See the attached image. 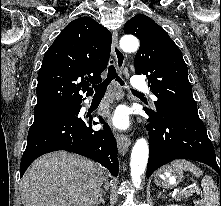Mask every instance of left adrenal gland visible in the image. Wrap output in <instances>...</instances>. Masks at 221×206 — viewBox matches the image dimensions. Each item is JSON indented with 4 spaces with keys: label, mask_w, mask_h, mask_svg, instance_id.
Segmentation results:
<instances>
[{
    "label": "left adrenal gland",
    "mask_w": 221,
    "mask_h": 206,
    "mask_svg": "<svg viewBox=\"0 0 221 206\" xmlns=\"http://www.w3.org/2000/svg\"><path fill=\"white\" fill-rule=\"evenodd\" d=\"M160 197L165 198V195H163V193H162V192H159L158 198H160Z\"/></svg>",
    "instance_id": "left-adrenal-gland-1"
}]
</instances>
